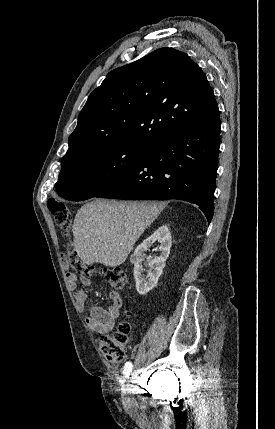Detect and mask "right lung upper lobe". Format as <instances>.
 <instances>
[{
	"instance_id": "1",
	"label": "right lung upper lobe",
	"mask_w": 275,
	"mask_h": 429,
	"mask_svg": "<svg viewBox=\"0 0 275 429\" xmlns=\"http://www.w3.org/2000/svg\"><path fill=\"white\" fill-rule=\"evenodd\" d=\"M219 117L206 75L190 57L161 48L109 72L88 97L62 164L116 145H151Z\"/></svg>"
}]
</instances>
